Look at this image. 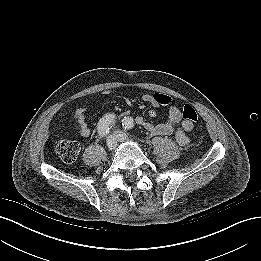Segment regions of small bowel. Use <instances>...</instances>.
<instances>
[{"mask_svg":"<svg viewBox=\"0 0 261 261\" xmlns=\"http://www.w3.org/2000/svg\"><path fill=\"white\" fill-rule=\"evenodd\" d=\"M142 100L152 106V109L148 112V115L152 118L157 115L156 109L164 105L156 99V94L145 93L142 95ZM87 110V104H82L75 111L76 124L79 126L80 133L84 137L91 135V129L86 119ZM134 120L136 124L144 127L153 135L166 136L174 132L175 139L181 146L187 145L190 141L188 132L192 130L193 123L183 119L181 110L175 105L169 107L168 119L164 123L154 124L146 120L143 116H137Z\"/></svg>","mask_w":261,"mask_h":261,"instance_id":"small-bowel-1","label":"small bowel"}]
</instances>
